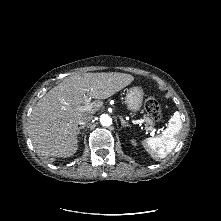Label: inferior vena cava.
<instances>
[{
  "instance_id": "602c4592",
  "label": "inferior vena cava",
  "mask_w": 221,
  "mask_h": 221,
  "mask_svg": "<svg viewBox=\"0 0 221 221\" xmlns=\"http://www.w3.org/2000/svg\"><path fill=\"white\" fill-rule=\"evenodd\" d=\"M93 118V115L91 113H86L80 117L78 120V124L85 125L86 123L90 122Z\"/></svg>"
}]
</instances>
